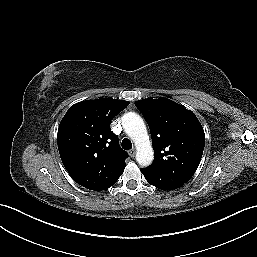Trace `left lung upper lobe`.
I'll use <instances>...</instances> for the list:
<instances>
[{
    "label": "left lung upper lobe",
    "mask_w": 257,
    "mask_h": 257,
    "mask_svg": "<svg viewBox=\"0 0 257 257\" xmlns=\"http://www.w3.org/2000/svg\"><path fill=\"white\" fill-rule=\"evenodd\" d=\"M135 105L148 122L155 154L145 169L152 173L166 170L190 179L205 145L204 130L195 114L163 97L139 100Z\"/></svg>",
    "instance_id": "obj_1"
}]
</instances>
